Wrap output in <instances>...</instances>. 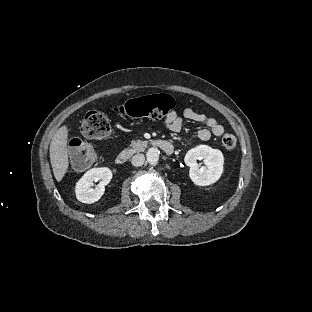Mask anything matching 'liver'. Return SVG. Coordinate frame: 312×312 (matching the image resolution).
I'll list each match as a JSON object with an SVG mask.
<instances>
[{"instance_id":"6515ba94","label":"liver","mask_w":312,"mask_h":312,"mask_svg":"<svg viewBox=\"0 0 312 312\" xmlns=\"http://www.w3.org/2000/svg\"><path fill=\"white\" fill-rule=\"evenodd\" d=\"M68 139L69 127L63 125L55 132L50 142V161L57 182H60L63 179L69 167L67 151Z\"/></svg>"}]
</instances>
